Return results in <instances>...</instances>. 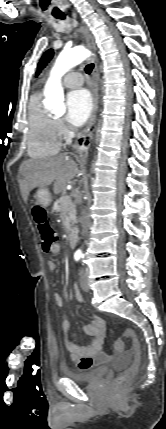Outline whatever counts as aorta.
<instances>
[{
	"label": "aorta",
	"mask_w": 166,
	"mask_h": 429,
	"mask_svg": "<svg viewBox=\"0 0 166 429\" xmlns=\"http://www.w3.org/2000/svg\"><path fill=\"white\" fill-rule=\"evenodd\" d=\"M90 56V52L83 46L62 51L50 72L46 82L44 95V105L53 113H64V91L61 78L71 68L80 64Z\"/></svg>",
	"instance_id": "aorta-1"
}]
</instances>
